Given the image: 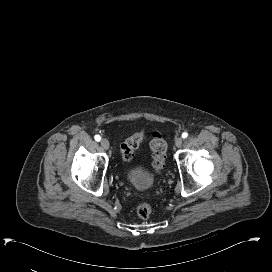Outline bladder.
Returning a JSON list of instances; mask_svg holds the SVG:
<instances>
[{
  "mask_svg": "<svg viewBox=\"0 0 272 272\" xmlns=\"http://www.w3.org/2000/svg\"><path fill=\"white\" fill-rule=\"evenodd\" d=\"M127 181L135 188L148 190L153 185V179L146 173L139 170H132L127 175Z\"/></svg>",
  "mask_w": 272,
  "mask_h": 272,
  "instance_id": "obj_1",
  "label": "bladder"
}]
</instances>
